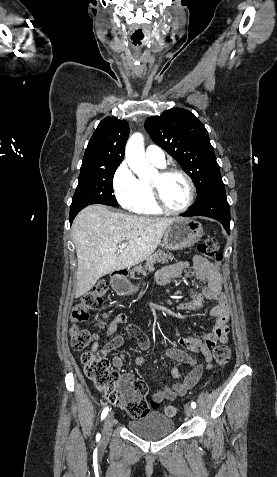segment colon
Here are the masks:
<instances>
[{"instance_id":"5ec220e1","label":"colon","mask_w":277,"mask_h":477,"mask_svg":"<svg viewBox=\"0 0 277 477\" xmlns=\"http://www.w3.org/2000/svg\"><path fill=\"white\" fill-rule=\"evenodd\" d=\"M200 253L213 261L217 268L220 267L222 255L219 252L217 241L214 238H207L198 246ZM188 273H191L188 271ZM108 290L106 282L97 283L94 288L86 293L80 302L71 312V326L69 329L72 347L77 350H84L95 339V334L89 330L81 328L80 323L89 318V312L99 308ZM214 358L219 366L228 364L231 358L230 347L222 343L214 349ZM82 363L86 377L93 383L105 398L114 406L125 410L133 418L146 416L150 408H157L158 403H149L146 400L148 392L147 385L140 380L119 383V375L111 368L110 362L105 356L93 351H85L82 354ZM168 417H174L177 410L169 405L164 409Z\"/></svg>"}]
</instances>
